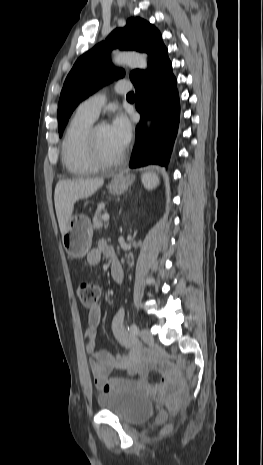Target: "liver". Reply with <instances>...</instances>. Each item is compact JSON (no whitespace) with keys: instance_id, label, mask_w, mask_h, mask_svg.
Instances as JSON below:
<instances>
[{"instance_id":"obj_1","label":"liver","mask_w":263,"mask_h":465,"mask_svg":"<svg viewBox=\"0 0 263 465\" xmlns=\"http://www.w3.org/2000/svg\"><path fill=\"white\" fill-rule=\"evenodd\" d=\"M103 184L104 180L102 178L60 180L57 183L54 193V202L62 236L72 216L76 201L90 197Z\"/></svg>"}]
</instances>
